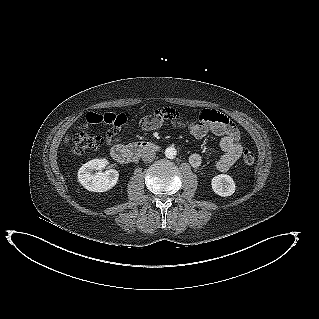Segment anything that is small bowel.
<instances>
[{
  "mask_svg": "<svg viewBox=\"0 0 319 319\" xmlns=\"http://www.w3.org/2000/svg\"><path fill=\"white\" fill-rule=\"evenodd\" d=\"M100 122H104L103 116L92 112L87 113L83 119V124H97ZM165 122L186 128L191 136L197 140L203 139L209 133L219 137L222 155L216 162V167L221 172L228 171L241 156L243 147L240 143L239 129L227 116L216 110H203L198 120L188 122L181 121L180 113L174 108H157L151 114L142 118L140 126L143 130L148 131L160 128ZM120 139L121 131L118 127H114L106 134V141L109 144L116 143ZM203 160L201 154L193 153L189 157V164L194 168H199Z\"/></svg>",
  "mask_w": 319,
  "mask_h": 319,
  "instance_id": "small-bowel-1",
  "label": "small bowel"
}]
</instances>
